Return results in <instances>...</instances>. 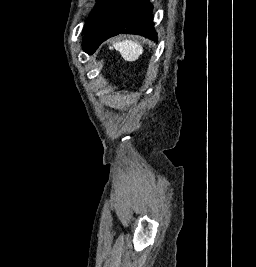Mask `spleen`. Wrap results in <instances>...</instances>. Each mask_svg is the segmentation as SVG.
Instances as JSON below:
<instances>
[{
    "label": "spleen",
    "instance_id": "1",
    "mask_svg": "<svg viewBox=\"0 0 256 267\" xmlns=\"http://www.w3.org/2000/svg\"><path fill=\"white\" fill-rule=\"evenodd\" d=\"M115 50L120 52L122 58L126 62H136L139 56H142L144 50L140 46L139 42H133V40H123V42H116L114 44Z\"/></svg>",
    "mask_w": 256,
    "mask_h": 267
}]
</instances>
